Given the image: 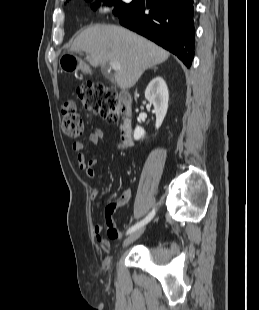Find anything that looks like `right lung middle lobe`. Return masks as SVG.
<instances>
[{
	"label": "right lung middle lobe",
	"instance_id": "1",
	"mask_svg": "<svg viewBox=\"0 0 259 310\" xmlns=\"http://www.w3.org/2000/svg\"><path fill=\"white\" fill-rule=\"evenodd\" d=\"M101 1H104L108 5H112V4L115 5V8H114L113 12H114L115 15H118V16H120L121 14H123L124 12L129 10L130 7L135 2V1H133V2H131L129 4H126V3L121 2L120 0H101ZM97 7H98L97 4H94L92 6L93 9H96Z\"/></svg>",
	"mask_w": 259,
	"mask_h": 310
}]
</instances>
